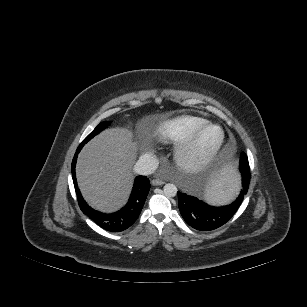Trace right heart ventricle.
I'll use <instances>...</instances> for the list:
<instances>
[{
	"mask_svg": "<svg viewBox=\"0 0 307 307\" xmlns=\"http://www.w3.org/2000/svg\"><path fill=\"white\" fill-rule=\"evenodd\" d=\"M207 123L208 120L203 117L180 116L160 123L154 131V136L159 141L180 143Z\"/></svg>",
	"mask_w": 307,
	"mask_h": 307,
	"instance_id": "right-heart-ventricle-1",
	"label": "right heart ventricle"
}]
</instances>
